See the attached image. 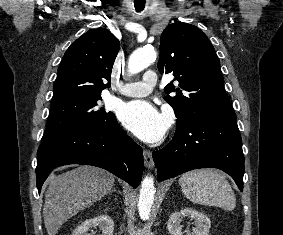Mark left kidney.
<instances>
[{
	"label": "left kidney",
	"mask_w": 283,
	"mask_h": 235,
	"mask_svg": "<svg viewBox=\"0 0 283 235\" xmlns=\"http://www.w3.org/2000/svg\"><path fill=\"white\" fill-rule=\"evenodd\" d=\"M185 217H190L195 223L192 232L187 233V235H209L210 219L205 214L191 208H184L170 215L167 229L171 235H183L181 222Z\"/></svg>",
	"instance_id": "1"
}]
</instances>
